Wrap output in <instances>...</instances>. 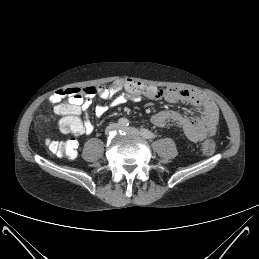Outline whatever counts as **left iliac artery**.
<instances>
[{
	"label": "left iliac artery",
	"instance_id": "left-iliac-artery-1",
	"mask_svg": "<svg viewBox=\"0 0 259 259\" xmlns=\"http://www.w3.org/2000/svg\"><path fill=\"white\" fill-rule=\"evenodd\" d=\"M141 133H148L151 136V139H154L157 135L153 132L149 131L148 129L142 128Z\"/></svg>",
	"mask_w": 259,
	"mask_h": 259
}]
</instances>
